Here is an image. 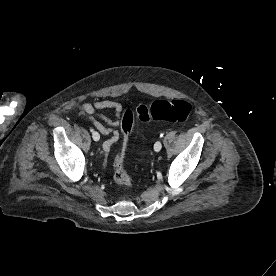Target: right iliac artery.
I'll return each instance as SVG.
<instances>
[{"label":"right iliac artery","mask_w":276,"mask_h":276,"mask_svg":"<svg viewBox=\"0 0 276 276\" xmlns=\"http://www.w3.org/2000/svg\"><path fill=\"white\" fill-rule=\"evenodd\" d=\"M90 131L94 132V129L91 128ZM99 139H100V135H99V137L96 140H99Z\"/></svg>","instance_id":"obj_1"}]
</instances>
